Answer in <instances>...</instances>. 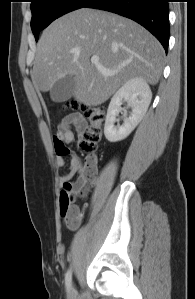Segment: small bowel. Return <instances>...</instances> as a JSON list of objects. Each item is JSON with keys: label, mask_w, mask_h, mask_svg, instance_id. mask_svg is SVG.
Instances as JSON below:
<instances>
[{"label": "small bowel", "mask_w": 195, "mask_h": 299, "mask_svg": "<svg viewBox=\"0 0 195 299\" xmlns=\"http://www.w3.org/2000/svg\"><path fill=\"white\" fill-rule=\"evenodd\" d=\"M85 130L86 121L80 114H71L65 117L59 124L58 136L55 139L57 165L59 167H63L65 165V157H70V168L68 172L59 176V183L60 186L65 189L64 191H69L67 185L68 183H72L71 180L77 174L78 170L81 167V161L77 153L66 145L72 143L75 140V133L78 139L81 140ZM82 220L83 214L80 211L74 218L70 216L63 217L64 224L70 230L77 229L81 225Z\"/></svg>", "instance_id": "1"}]
</instances>
